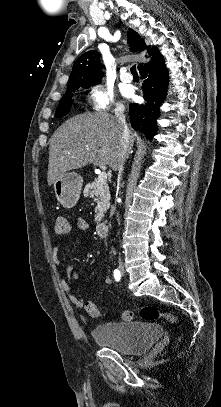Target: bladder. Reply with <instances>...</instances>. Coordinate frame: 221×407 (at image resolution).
Here are the masks:
<instances>
[{
	"mask_svg": "<svg viewBox=\"0 0 221 407\" xmlns=\"http://www.w3.org/2000/svg\"><path fill=\"white\" fill-rule=\"evenodd\" d=\"M162 332L163 328L160 325L141 322L109 323L95 327L92 336L98 345L133 355L146 352Z\"/></svg>",
	"mask_w": 221,
	"mask_h": 407,
	"instance_id": "31cf9c89",
	"label": "bladder"
}]
</instances>
